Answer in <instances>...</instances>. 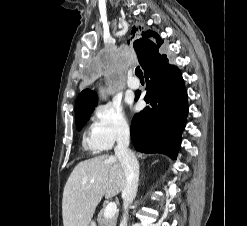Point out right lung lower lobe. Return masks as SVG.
Here are the masks:
<instances>
[{
  "label": "right lung lower lobe",
  "mask_w": 247,
  "mask_h": 226,
  "mask_svg": "<svg viewBox=\"0 0 247 226\" xmlns=\"http://www.w3.org/2000/svg\"><path fill=\"white\" fill-rule=\"evenodd\" d=\"M144 74L147 79L144 100L149 106L133 117V144L140 152L163 153L176 159L188 113L182 74L169 63L163 48L147 52Z\"/></svg>",
  "instance_id": "right-lung-lower-lobe-1"
}]
</instances>
